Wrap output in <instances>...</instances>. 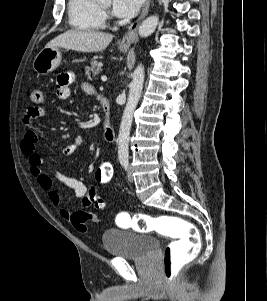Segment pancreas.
<instances>
[{"label": "pancreas", "mask_w": 267, "mask_h": 301, "mask_svg": "<svg viewBox=\"0 0 267 301\" xmlns=\"http://www.w3.org/2000/svg\"><path fill=\"white\" fill-rule=\"evenodd\" d=\"M101 67V62L92 61L90 66H87L85 68V73L89 79H92V77H95L99 73V71H101Z\"/></svg>", "instance_id": "pancreas-1"}]
</instances>
